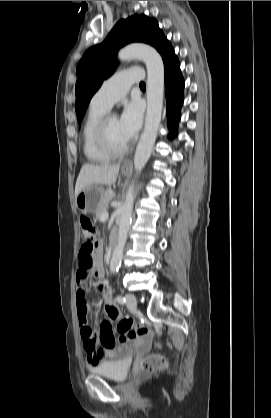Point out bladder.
Listing matches in <instances>:
<instances>
[{
  "instance_id": "obj_1",
  "label": "bladder",
  "mask_w": 271,
  "mask_h": 418,
  "mask_svg": "<svg viewBox=\"0 0 271 418\" xmlns=\"http://www.w3.org/2000/svg\"><path fill=\"white\" fill-rule=\"evenodd\" d=\"M131 365V357L129 353H124L118 358L104 361L92 368L90 371L98 376L104 377L112 381H122L125 379Z\"/></svg>"
}]
</instances>
